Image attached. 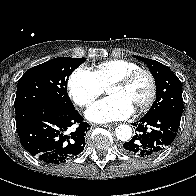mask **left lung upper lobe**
<instances>
[{
    "label": "left lung upper lobe",
    "instance_id": "5c2ea615",
    "mask_svg": "<svg viewBox=\"0 0 196 196\" xmlns=\"http://www.w3.org/2000/svg\"><path fill=\"white\" fill-rule=\"evenodd\" d=\"M143 61L156 81V100L147 114L165 112L181 118L183 111L182 85L171 69L158 61L134 56Z\"/></svg>",
    "mask_w": 196,
    "mask_h": 196
}]
</instances>
